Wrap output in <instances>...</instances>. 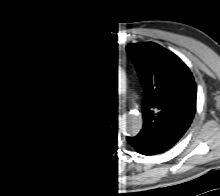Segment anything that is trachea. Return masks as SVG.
Masks as SVG:
<instances>
[{"instance_id":"3493384b","label":"trachea","mask_w":220,"mask_h":196,"mask_svg":"<svg viewBox=\"0 0 220 196\" xmlns=\"http://www.w3.org/2000/svg\"><path fill=\"white\" fill-rule=\"evenodd\" d=\"M107 111L109 113H114V111H115L114 106L113 105H109Z\"/></svg>"}]
</instances>
